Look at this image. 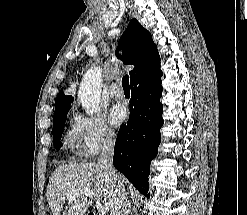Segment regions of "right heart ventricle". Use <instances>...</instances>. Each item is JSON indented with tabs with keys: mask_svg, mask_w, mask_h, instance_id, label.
Instances as JSON below:
<instances>
[{
	"mask_svg": "<svg viewBox=\"0 0 247 215\" xmlns=\"http://www.w3.org/2000/svg\"><path fill=\"white\" fill-rule=\"evenodd\" d=\"M67 142H68L69 145H72V144L76 143L75 139H74L73 136L71 135V132H70V134H68V136H67Z\"/></svg>",
	"mask_w": 247,
	"mask_h": 215,
	"instance_id": "obj_1",
	"label": "right heart ventricle"
}]
</instances>
